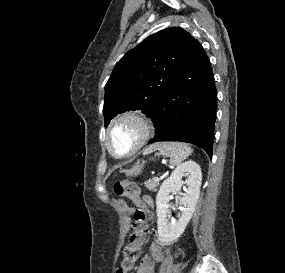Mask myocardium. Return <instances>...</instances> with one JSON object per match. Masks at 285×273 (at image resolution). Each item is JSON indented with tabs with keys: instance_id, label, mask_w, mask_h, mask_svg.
<instances>
[{
	"instance_id": "1",
	"label": "myocardium",
	"mask_w": 285,
	"mask_h": 273,
	"mask_svg": "<svg viewBox=\"0 0 285 273\" xmlns=\"http://www.w3.org/2000/svg\"><path fill=\"white\" fill-rule=\"evenodd\" d=\"M131 120L137 123L140 129V136L136 144L132 147L131 150H129L125 154H116L111 146L110 143V136L114 130V128L121 122ZM153 133V124L152 121L143 113L135 110H129L122 112L115 116L110 123L108 124L106 131H105V137H104V143L107 151L115 158L124 159L129 158L136 154L150 139Z\"/></svg>"
}]
</instances>
